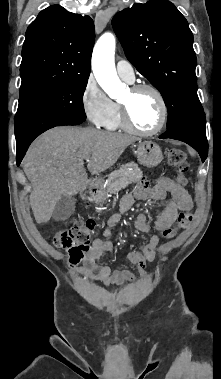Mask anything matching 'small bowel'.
<instances>
[{
  "instance_id": "obj_1",
  "label": "small bowel",
  "mask_w": 221,
  "mask_h": 379,
  "mask_svg": "<svg viewBox=\"0 0 221 379\" xmlns=\"http://www.w3.org/2000/svg\"><path fill=\"white\" fill-rule=\"evenodd\" d=\"M136 199L166 200V205L159 213L154 225L148 223L145 214H139L134 222L136 230L150 233L148 241L140 251H131L126 254L128 263L137 267L142 276L145 275L146 264L153 262L156 258L160 243L158 233L170 228L179 212L189 211L193 207L188 191L170 177L162 176L153 182L139 181L135 189L122 198L120 211L111 215L103 225L102 236L94 239L86 266L81 271V275L86 280L101 282L106 286H122L125 282L135 281L136 277L130 269L113 270L110 265H102L98 261L105 254L113 253L114 248L109 237Z\"/></svg>"
}]
</instances>
